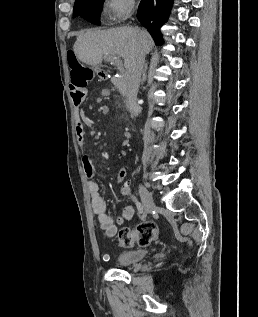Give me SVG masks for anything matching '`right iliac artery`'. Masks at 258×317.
<instances>
[{"mask_svg": "<svg viewBox=\"0 0 258 317\" xmlns=\"http://www.w3.org/2000/svg\"><path fill=\"white\" fill-rule=\"evenodd\" d=\"M133 200H134V202H135V204L137 206L139 214H142L143 207H142L141 203L139 202V200L135 196H133Z\"/></svg>", "mask_w": 258, "mask_h": 317, "instance_id": "1", "label": "right iliac artery"}]
</instances>
